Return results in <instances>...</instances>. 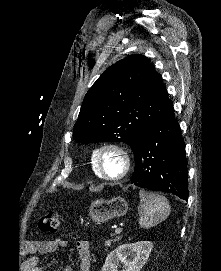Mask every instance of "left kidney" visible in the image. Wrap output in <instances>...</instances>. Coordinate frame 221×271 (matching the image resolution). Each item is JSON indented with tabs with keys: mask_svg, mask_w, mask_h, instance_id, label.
<instances>
[{
	"mask_svg": "<svg viewBox=\"0 0 221 271\" xmlns=\"http://www.w3.org/2000/svg\"><path fill=\"white\" fill-rule=\"evenodd\" d=\"M151 241L122 243L108 253L102 271H140L145 265L152 249ZM122 263V269H118Z\"/></svg>",
	"mask_w": 221,
	"mask_h": 271,
	"instance_id": "obj_1",
	"label": "left kidney"
}]
</instances>
